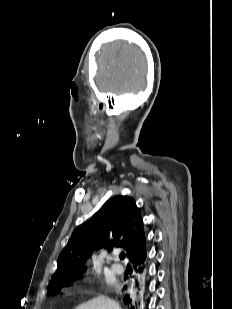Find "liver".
<instances>
[{"label": "liver", "mask_w": 232, "mask_h": 309, "mask_svg": "<svg viewBox=\"0 0 232 309\" xmlns=\"http://www.w3.org/2000/svg\"><path fill=\"white\" fill-rule=\"evenodd\" d=\"M76 309H121V308L119 304L114 300L105 296H98L86 303L81 304Z\"/></svg>", "instance_id": "liver-1"}]
</instances>
